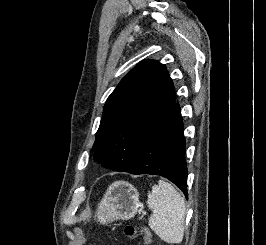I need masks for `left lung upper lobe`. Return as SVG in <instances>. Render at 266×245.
<instances>
[{
	"instance_id": "1",
	"label": "left lung upper lobe",
	"mask_w": 266,
	"mask_h": 245,
	"mask_svg": "<svg viewBox=\"0 0 266 245\" xmlns=\"http://www.w3.org/2000/svg\"><path fill=\"white\" fill-rule=\"evenodd\" d=\"M175 102L165 65L145 60L132 69L108 97L94 142V160L123 172L141 138Z\"/></svg>"
}]
</instances>
